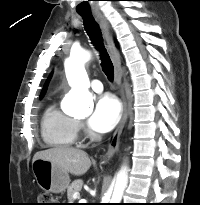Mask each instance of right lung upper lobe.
I'll list each match as a JSON object with an SVG mask.
<instances>
[{"label": "right lung upper lobe", "mask_w": 200, "mask_h": 205, "mask_svg": "<svg viewBox=\"0 0 200 205\" xmlns=\"http://www.w3.org/2000/svg\"><path fill=\"white\" fill-rule=\"evenodd\" d=\"M51 77V76H50ZM50 77L48 78V80L46 81V83H45V85H44V87H43V89H42V92H41V97H43V95L45 94V92H46V88H47V84H48V82H49V79H50Z\"/></svg>", "instance_id": "obj_1"}]
</instances>
